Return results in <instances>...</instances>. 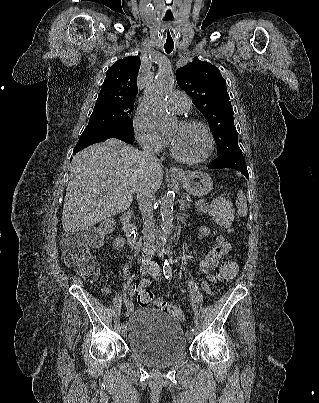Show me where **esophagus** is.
<instances>
[{
    "label": "esophagus",
    "instance_id": "obj_1",
    "mask_svg": "<svg viewBox=\"0 0 319 403\" xmlns=\"http://www.w3.org/2000/svg\"><path fill=\"white\" fill-rule=\"evenodd\" d=\"M169 172H171V173H179L180 169L178 167H176V166H172V167L169 168Z\"/></svg>",
    "mask_w": 319,
    "mask_h": 403
}]
</instances>
